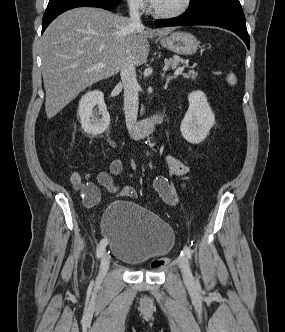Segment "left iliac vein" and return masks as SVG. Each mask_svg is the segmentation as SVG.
<instances>
[{
	"label": "left iliac vein",
	"instance_id": "4c4485c4",
	"mask_svg": "<svg viewBox=\"0 0 285 332\" xmlns=\"http://www.w3.org/2000/svg\"><path fill=\"white\" fill-rule=\"evenodd\" d=\"M178 265L181 269L184 282L188 285H192L194 282L192 272L189 266L188 259L185 255L178 258Z\"/></svg>",
	"mask_w": 285,
	"mask_h": 332
}]
</instances>
